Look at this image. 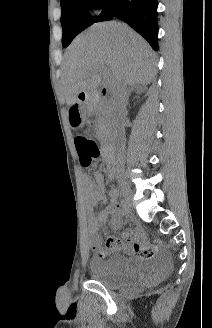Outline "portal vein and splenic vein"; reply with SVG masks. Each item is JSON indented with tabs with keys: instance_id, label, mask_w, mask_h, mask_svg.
Here are the masks:
<instances>
[{
	"instance_id": "portal-vein-and-splenic-vein-1",
	"label": "portal vein and splenic vein",
	"mask_w": 212,
	"mask_h": 328,
	"mask_svg": "<svg viewBox=\"0 0 212 328\" xmlns=\"http://www.w3.org/2000/svg\"><path fill=\"white\" fill-rule=\"evenodd\" d=\"M103 69H104V70H107L105 66H102V67L100 68V71H102ZM108 75H109V73L106 72V76H108Z\"/></svg>"
}]
</instances>
